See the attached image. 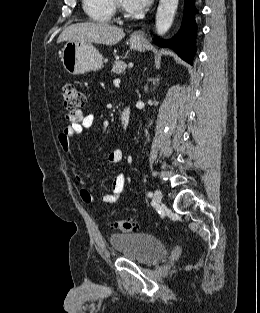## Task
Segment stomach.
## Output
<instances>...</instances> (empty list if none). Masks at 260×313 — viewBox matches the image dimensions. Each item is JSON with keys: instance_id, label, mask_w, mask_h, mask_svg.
<instances>
[{"instance_id": "stomach-1", "label": "stomach", "mask_w": 260, "mask_h": 313, "mask_svg": "<svg viewBox=\"0 0 260 313\" xmlns=\"http://www.w3.org/2000/svg\"><path fill=\"white\" fill-rule=\"evenodd\" d=\"M133 49L144 51L147 43L134 37L130 38ZM61 61L65 70L72 75H80L97 71L103 66V58L99 51L90 43L68 41L62 48Z\"/></svg>"}]
</instances>
